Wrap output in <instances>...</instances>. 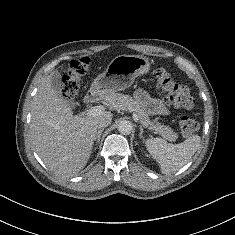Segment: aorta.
<instances>
[{
    "label": "aorta",
    "mask_w": 235,
    "mask_h": 235,
    "mask_svg": "<svg viewBox=\"0 0 235 235\" xmlns=\"http://www.w3.org/2000/svg\"><path fill=\"white\" fill-rule=\"evenodd\" d=\"M133 126L130 121L122 120L118 124V131L123 135H128L131 133Z\"/></svg>",
    "instance_id": "1"
}]
</instances>
